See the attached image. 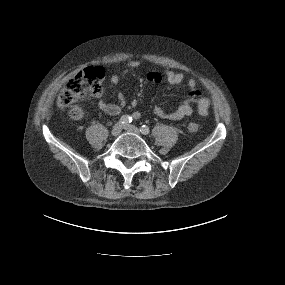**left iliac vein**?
Segmentation results:
<instances>
[{
	"instance_id": "obj_1",
	"label": "left iliac vein",
	"mask_w": 285,
	"mask_h": 285,
	"mask_svg": "<svg viewBox=\"0 0 285 285\" xmlns=\"http://www.w3.org/2000/svg\"><path fill=\"white\" fill-rule=\"evenodd\" d=\"M124 129L126 131H128V132H132V133H135V134H138V135L140 134L139 129L137 127L133 126V125L127 124V125L124 126Z\"/></svg>"
}]
</instances>
